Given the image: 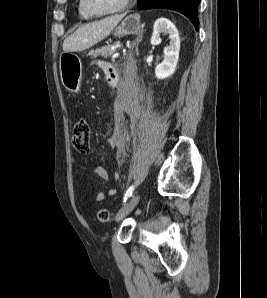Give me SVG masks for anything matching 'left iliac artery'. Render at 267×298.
<instances>
[{"mask_svg": "<svg viewBox=\"0 0 267 298\" xmlns=\"http://www.w3.org/2000/svg\"><path fill=\"white\" fill-rule=\"evenodd\" d=\"M134 185L130 186L129 189L127 190V192L125 193V196L123 198V202H126L128 200V198H130L133 194L134 191Z\"/></svg>", "mask_w": 267, "mask_h": 298, "instance_id": "1", "label": "left iliac artery"}]
</instances>
